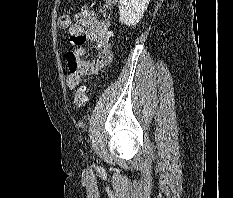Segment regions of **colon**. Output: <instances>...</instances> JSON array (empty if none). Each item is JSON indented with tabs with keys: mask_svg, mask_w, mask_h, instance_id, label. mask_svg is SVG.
<instances>
[{
	"mask_svg": "<svg viewBox=\"0 0 233 198\" xmlns=\"http://www.w3.org/2000/svg\"><path fill=\"white\" fill-rule=\"evenodd\" d=\"M58 24L61 28L68 29L71 25L70 17L67 15L60 16L58 20ZM68 59H69L70 70L74 71L76 68L74 58L72 56H69ZM86 101H87V89L86 86H81L77 89V91L74 94V104L80 108L85 105Z\"/></svg>",
	"mask_w": 233,
	"mask_h": 198,
	"instance_id": "5ec220e1",
	"label": "colon"
}]
</instances>
